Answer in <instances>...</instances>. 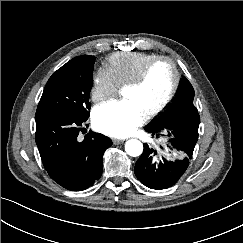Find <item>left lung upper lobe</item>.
<instances>
[{"label":"left lung upper lobe","instance_id":"1","mask_svg":"<svg viewBox=\"0 0 243 243\" xmlns=\"http://www.w3.org/2000/svg\"><path fill=\"white\" fill-rule=\"evenodd\" d=\"M194 94L195 93L192 85L185 77H183L181 79L179 91L175 101L169 106V108L165 112H163V114L160 117L156 118L149 125L152 127H159L160 129H164V127H167V121L170 118H174L175 116L177 117L180 116L178 112L180 108H186L187 106L193 104ZM181 116L182 119L177 120L181 123L188 124L189 122H195V120H198L199 122L198 112L188 114L186 117L184 115Z\"/></svg>","mask_w":243,"mask_h":243}]
</instances>
